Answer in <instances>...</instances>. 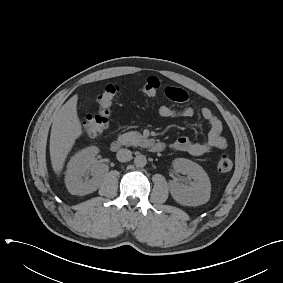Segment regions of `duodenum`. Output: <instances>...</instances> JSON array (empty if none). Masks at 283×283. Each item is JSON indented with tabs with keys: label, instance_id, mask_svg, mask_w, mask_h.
Instances as JSON below:
<instances>
[{
	"label": "duodenum",
	"instance_id": "obj_1",
	"mask_svg": "<svg viewBox=\"0 0 283 283\" xmlns=\"http://www.w3.org/2000/svg\"><path fill=\"white\" fill-rule=\"evenodd\" d=\"M121 147H122V143L119 140H113L110 143V149L113 152L120 150ZM149 149L152 152L159 153V152H162L165 149V145L162 142H154L153 141V142L149 143Z\"/></svg>",
	"mask_w": 283,
	"mask_h": 283
}]
</instances>
